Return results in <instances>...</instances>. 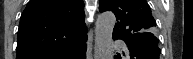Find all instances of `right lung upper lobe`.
<instances>
[{
    "label": "right lung upper lobe",
    "instance_id": "right-lung-upper-lobe-1",
    "mask_svg": "<svg viewBox=\"0 0 193 59\" xmlns=\"http://www.w3.org/2000/svg\"><path fill=\"white\" fill-rule=\"evenodd\" d=\"M82 0H30L20 19L17 59H52L86 36Z\"/></svg>",
    "mask_w": 193,
    "mask_h": 59
}]
</instances>
